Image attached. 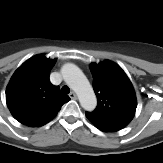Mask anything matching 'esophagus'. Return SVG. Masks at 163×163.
<instances>
[{
  "label": "esophagus",
  "instance_id": "esophagus-1",
  "mask_svg": "<svg viewBox=\"0 0 163 163\" xmlns=\"http://www.w3.org/2000/svg\"><path fill=\"white\" fill-rule=\"evenodd\" d=\"M69 97L71 99H77V95H76V93L74 91L70 92Z\"/></svg>",
  "mask_w": 163,
  "mask_h": 163
}]
</instances>
